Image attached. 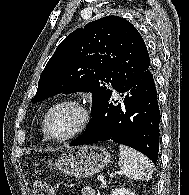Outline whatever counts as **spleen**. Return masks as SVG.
<instances>
[{
  "label": "spleen",
  "mask_w": 189,
  "mask_h": 195,
  "mask_svg": "<svg viewBox=\"0 0 189 195\" xmlns=\"http://www.w3.org/2000/svg\"><path fill=\"white\" fill-rule=\"evenodd\" d=\"M119 149L118 164L127 178L133 180H149L152 178V164L146 156L124 145H120Z\"/></svg>",
  "instance_id": "obj_1"
}]
</instances>
